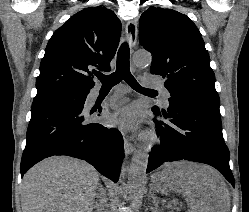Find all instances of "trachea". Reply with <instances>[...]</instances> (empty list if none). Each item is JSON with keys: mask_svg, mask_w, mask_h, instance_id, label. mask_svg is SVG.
Here are the masks:
<instances>
[{"mask_svg": "<svg viewBox=\"0 0 249 212\" xmlns=\"http://www.w3.org/2000/svg\"><path fill=\"white\" fill-rule=\"evenodd\" d=\"M130 49L127 42H124L117 54V67L114 73L110 75L97 74L98 79L102 83V88H112L122 80L130 85L134 90H152L151 88H144L139 85L137 80L130 72Z\"/></svg>", "mask_w": 249, "mask_h": 212, "instance_id": "1", "label": "trachea"}]
</instances>
